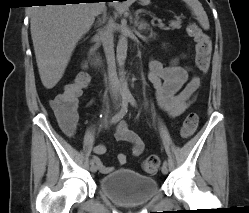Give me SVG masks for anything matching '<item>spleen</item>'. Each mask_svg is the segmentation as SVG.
<instances>
[{"instance_id":"3e777b00","label":"spleen","mask_w":249,"mask_h":213,"mask_svg":"<svg viewBox=\"0 0 249 213\" xmlns=\"http://www.w3.org/2000/svg\"><path fill=\"white\" fill-rule=\"evenodd\" d=\"M193 11L203 29H209V21L202 4L198 0H183Z\"/></svg>"}]
</instances>
